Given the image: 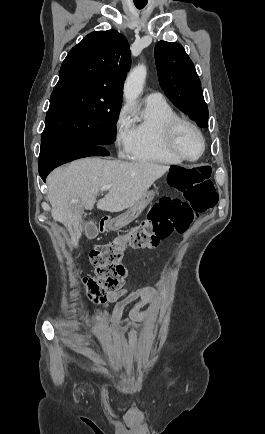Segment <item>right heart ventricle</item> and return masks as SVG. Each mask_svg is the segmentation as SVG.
Returning <instances> with one entry per match:
<instances>
[{
	"label": "right heart ventricle",
	"instance_id": "right-heart-ventricle-1",
	"mask_svg": "<svg viewBox=\"0 0 265 434\" xmlns=\"http://www.w3.org/2000/svg\"><path fill=\"white\" fill-rule=\"evenodd\" d=\"M175 117V110L164 99L159 103H148L146 99L135 114L132 151L128 158L135 163L181 165L183 162L172 153L167 141L168 127Z\"/></svg>",
	"mask_w": 265,
	"mask_h": 434
}]
</instances>
